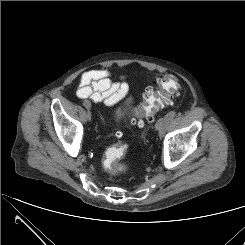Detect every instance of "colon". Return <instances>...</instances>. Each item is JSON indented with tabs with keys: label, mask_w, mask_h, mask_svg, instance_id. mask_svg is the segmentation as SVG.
Wrapping results in <instances>:
<instances>
[{
	"label": "colon",
	"mask_w": 245,
	"mask_h": 245,
	"mask_svg": "<svg viewBox=\"0 0 245 245\" xmlns=\"http://www.w3.org/2000/svg\"><path fill=\"white\" fill-rule=\"evenodd\" d=\"M178 81L172 75H166L157 79L154 87L147 88L142 101L136 111L137 118L132 123L143 126V119L153 121L160 106L167 104L178 90ZM126 153V148L119 143L109 148L102 159L103 168L114 175L121 174L125 167L119 161Z\"/></svg>",
	"instance_id": "1"
}]
</instances>
